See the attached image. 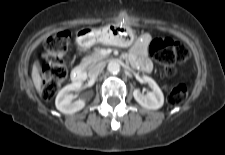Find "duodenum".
<instances>
[{
    "label": "duodenum",
    "mask_w": 225,
    "mask_h": 155,
    "mask_svg": "<svg viewBox=\"0 0 225 155\" xmlns=\"http://www.w3.org/2000/svg\"><path fill=\"white\" fill-rule=\"evenodd\" d=\"M71 79L75 83L83 82L86 79V71L83 67H76L71 73Z\"/></svg>",
    "instance_id": "obj_1"
}]
</instances>
